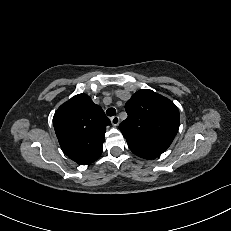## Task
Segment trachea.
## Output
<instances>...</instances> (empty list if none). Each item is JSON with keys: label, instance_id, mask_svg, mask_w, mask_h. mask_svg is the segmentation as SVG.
Segmentation results:
<instances>
[{"label": "trachea", "instance_id": "3493384b", "mask_svg": "<svg viewBox=\"0 0 231 231\" xmlns=\"http://www.w3.org/2000/svg\"><path fill=\"white\" fill-rule=\"evenodd\" d=\"M115 113H116L115 108H108V109L106 110L107 116H110V117H111V116H114Z\"/></svg>", "mask_w": 231, "mask_h": 231}]
</instances>
